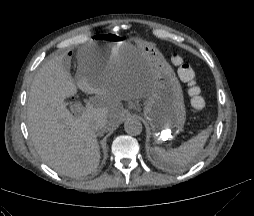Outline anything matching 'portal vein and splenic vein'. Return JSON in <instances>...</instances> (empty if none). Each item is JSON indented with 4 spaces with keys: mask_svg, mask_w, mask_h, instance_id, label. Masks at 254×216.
<instances>
[{
    "mask_svg": "<svg viewBox=\"0 0 254 216\" xmlns=\"http://www.w3.org/2000/svg\"><path fill=\"white\" fill-rule=\"evenodd\" d=\"M73 108H74L73 113L75 114V116H78L82 113L83 106L80 102H75Z\"/></svg>",
    "mask_w": 254,
    "mask_h": 216,
    "instance_id": "1",
    "label": "portal vein and splenic vein"
}]
</instances>
